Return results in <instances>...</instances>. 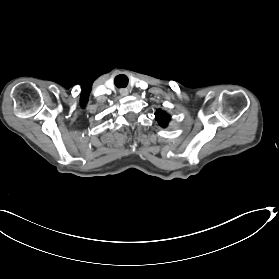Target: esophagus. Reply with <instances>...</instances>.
I'll use <instances>...</instances> for the list:
<instances>
[{"label": "esophagus", "instance_id": "1", "mask_svg": "<svg viewBox=\"0 0 279 279\" xmlns=\"http://www.w3.org/2000/svg\"><path fill=\"white\" fill-rule=\"evenodd\" d=\"M120 94L126 96L128 94V89L126 88L120 89Z\"/></svg>", "mask_w": 279, "mask_h": 279}]
</instances>
